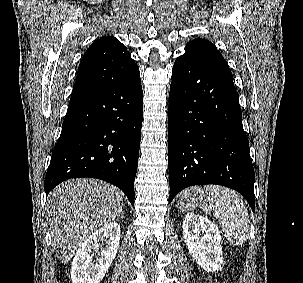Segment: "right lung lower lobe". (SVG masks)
I'll return each mask as SVG.
<instances>
[{
    "mask_svg": "<svg viewBox=\"0 0 303 283\" xmlns=\"http://www.w3.org/2000/svg\"><path fill=\"white\" fill-rule=\"evenodd\" d=\"M143 116L140 75L112 90L70 102L44 181L92 177L119 187L134 206Z\"/></svg>",
    "mask_w": 303,
    "mask_h": 283,
    "instance_id": "1",
    "label": "right lung lower lobe"
}]
</instances>
